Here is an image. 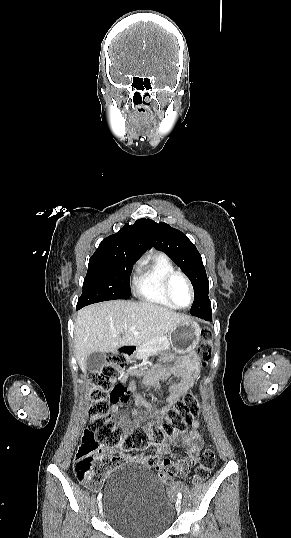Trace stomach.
Here are the masks:
<instances>
[{"label": "stomach", "mask_w": 291, "mask_h": 538, "mask_svg": "<svg viewBox=\"0 0 291 538\" xmlns=\"http://www.w3.org/2000/svg\"><path fill=\"white\" fill-rule=\"evenodd\" d=\"M200 336L201 328L199 324L192 319L179 324L176 328L171 330L168 335L173 351L179 354L192 353L200 341ZM162 355L163 354H161V356ZM166 359L167 358L164 357V361ZM181 363H186V361Z\"/></svg>", "instance_id": "0dacf381"}]
</instances>
